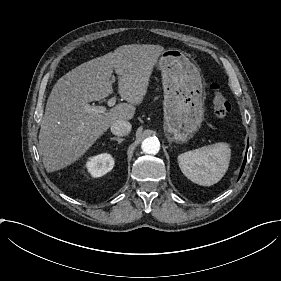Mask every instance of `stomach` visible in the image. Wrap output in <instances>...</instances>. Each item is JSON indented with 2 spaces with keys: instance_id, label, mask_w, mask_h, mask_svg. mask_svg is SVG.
I'll return each mask as SVG.
<instances>
[{
  "instance_id": "0dacf381",
  "label": "stomach",
  "mask_w": 281,
  "mask_h": 281,
  "mask_svg": "<svg viewBox=\"0 0 281 281\" xmlns=\"http://www.w3.org/2000/svg\"><path fill=\"white\" fill-rule=\"evenodd\" d=\"M157 68L164 90V130L169 142L186 143L204 118L205 84L200 68L183 51L164 50Z\"/></svg>"
}]
</instances>
